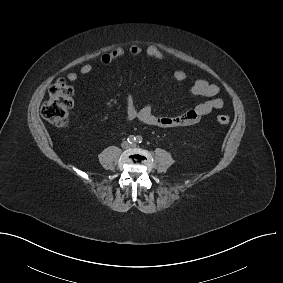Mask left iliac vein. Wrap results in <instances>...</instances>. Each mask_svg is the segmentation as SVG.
Returning a JSON list of instances; mask_svg holds the SVG:
<instances>
[{
	"label": "left iliac vein",
	"mask_w": 283,
	"mask_h": 283,
	"mask_svg": "<svg viewBox=\"0 0 283 283\" xmlns=\"http://www.w3.org/2000/svg\"><path fill=\"white\" fill-rule=\"evenodd\" d=\"M134 146H135V144L131 145V147H134Z\"/></svg>",
	"instance_id": "obj_1"
}]
</instances>
